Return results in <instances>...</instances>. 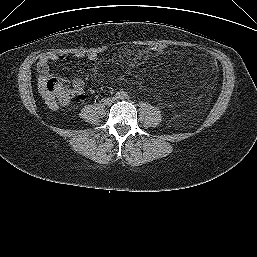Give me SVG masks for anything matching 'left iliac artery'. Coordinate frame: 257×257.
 Returning <instances> with one entry per match:
<instances>
[{"label":"left iliac artery","instance_id":"44dca946","mask_svg":"<svg viewBox=\"0 0 257 257\" xmlns=\"http://www.w3.org/2000/svg\"><path fill=\"white\" fill-rule=\"evenodd\" d=\"M124 97H127L128 95L126 93L123 94Z\"/></svg>","mask_w":257,"mask_h":257}]
</instances>
